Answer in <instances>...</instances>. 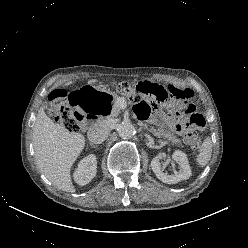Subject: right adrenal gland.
Segmentation results:
<instances>
[{"label":"right adrenal gland","instance_id":"1","mask_svg":"<svg viewBox=\"0 0 248 248\" xmlns=\"http://www.w3.org/2000/svg\"><path fill=\"white\" fill-rule=\"evenodd\" d=\"M90 146H91L92 148H97V146H95V145H93V144H91V143H90Z\"/></svg>","mask_w":248,"mask_h":248}]
</instances>
